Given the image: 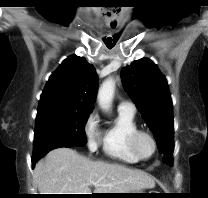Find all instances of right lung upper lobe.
<instances>
[{"label": "right lung upper lobe", "instance_id": "right-lung-upper-lobe-1", "mask_svg": "<svg viewBox=\"0 0 208 198\" xmlns=\"http://www.w3.org/2000/svg\"><path fill=\"white\" fill-rule=\"evenodd\" d=\"M97 93V74L84 57L71 55L49 77L38 110L68 107L92 111Z\"/></svg>", "mask_w": 208, "mask_h": 198}]
</instances>
